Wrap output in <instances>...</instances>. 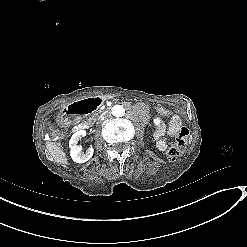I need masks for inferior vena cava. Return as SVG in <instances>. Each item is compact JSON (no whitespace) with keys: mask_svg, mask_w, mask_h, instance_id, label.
Masks as SVG:
<instances>
[{"mask_svg":"<svg viewBox=\"0 0 247 247\" xmlns=\"http://www.w3.org/2000/svg\"><path fill=\"white\" fill-rule=\"evenodd\" d=\"M103 117V115H101L100 117H99V119H101Z\"/></svg>","mask_w":247,"mask_h":247,"instance_id":"inferior-vena-cava-1","label":"inferior vena cava"}]
</instances>
